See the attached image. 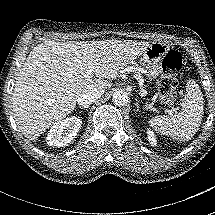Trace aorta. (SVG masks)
Here are the masks:
<instances>
[{"label":"aorta","mask_w":215,"mask_h":215,"mask_svg":"<svg viewBox=\"0 0 215 215\" xmlns=\"http://www.w3.org/2000/svg\"><path fill=\"white\" fill-rule=\"evenodd\" d=\"M129 100V94L124 90H118L112 96V102L117 106H124Z\"/></svg>","instance_id":"1"}]
</instances>
